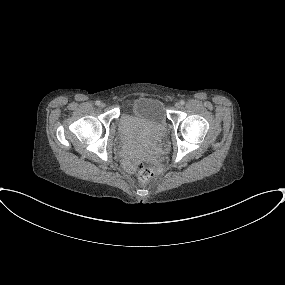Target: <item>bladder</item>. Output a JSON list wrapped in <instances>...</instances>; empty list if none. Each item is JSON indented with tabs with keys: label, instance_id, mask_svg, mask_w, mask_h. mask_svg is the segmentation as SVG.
Returning a JSON list of instances; mask_svg holds the SVG:
<instances>
[{
	"label": "bladder",
	"instance_id": "31cf9c89",
	"mask_svg": "<svg viewBox=\"0 0 285 285\" xmlns=\"http://www.w3.org/2000/svg\"><path fill=\"white\" fill-rule=\"evenodd\" d=\"M166 123L160 100L139 97L117 118L115 138L129 152L143 149L153 153L162 150L167 143Z\"/></svg>",
	"mask_w": 285,
	"mask_h": 285
}]
</instances>
